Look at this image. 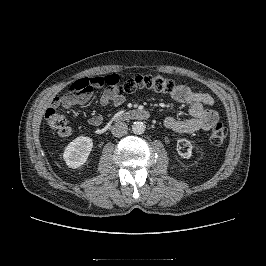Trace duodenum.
<instances>
[{
	"label": "duodenum",
	"mask_w": 266,
	"mask_h": 266,
	"mask_svg": "<svg viewBox=\"0 0 266 266\" xmlns=\"http://www.w3.org/2000/svg\"><path fill=\"white\" fill-rule=\"evenodd\" d=\"M150 117V113L146 110L132 109L122 111L116 114L113 118L114 122H119L123 120H147Z\"/></svg>",
	"instance_id": "obj_1"
}]
</instances>
